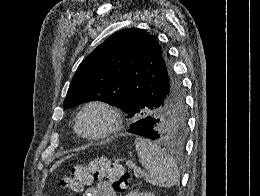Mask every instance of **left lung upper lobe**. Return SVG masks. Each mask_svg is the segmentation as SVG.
<instances>
[{"label": "left lung upper lobe", "instance_id": "left-lung-upper-lobe-1", "mask_svg": "<svg viewBox=\"0 0 260 196\" xmlns=\"http://www.w3.org/2000/svg\"><path fill=\"white\" fill-rule=\"evenodd\" d=\"M101 100L120 107L132 121L153 119L157 140L182 148L187 111L179 78L166 49L138 28L117 31L79 65L64 109Z\"/></svg>", "mask_w": 260, "mask_h": 196}]
</instances>
